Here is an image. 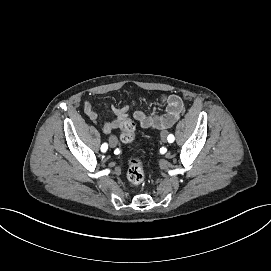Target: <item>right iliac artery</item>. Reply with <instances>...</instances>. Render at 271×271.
Instances as JSON below:
<instances>
[{
    "label": "right iliac artery",
    "instance_id": "obj_1",
    "mask_svg": "<svg viewBox=\"0 0 271 271\" xmlns=\"http://www.w3.org/2000/svg\"><path fill=\"white\" fill-rule=\"evenodd\" d=\"M107 149H108V144L107 143L102 144L101 151L106 152Z\"/></svg>",
    "mask_w": 271,
    "mask_h": 271
}]
</instances>
